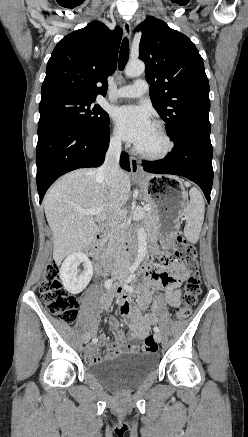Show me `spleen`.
Returning <instances> with one entry per match:
<instances>
[{
	"label": "spleen",
	"instance_id": "3e777b00",
	"mask_svg": "<svg viewBox=\"0 0 248 437\" xmlns=\"http://www.w3.org/2000/svg\"><path fill=\"white\" fill-rule=\"evenodd\" d=\"M185 186L189 187L190 183L185 182ZM190 201L186 204L184 209V216L186 225L184 227V235L192 243H196L199 239L200 231L202 228L205 204L203 196L200 191L192 187L189 191Z\"/></svg>",
	"mask_w": 248,
	"mask_h": 437
}]
</instances>
